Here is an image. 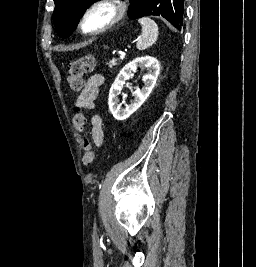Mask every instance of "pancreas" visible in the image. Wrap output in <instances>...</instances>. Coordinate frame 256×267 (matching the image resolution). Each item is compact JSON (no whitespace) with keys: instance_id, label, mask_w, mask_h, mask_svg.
Here are the masks:
<instances>
[{"instance_id":"1","label":"pancreas","mask_w":256,"mask_h":267,"mask_svg":"<svg viewBox=\"0 0 256 267\" xmlns=\"http://www.w3.org/2000/svg\"><path fill=\"white\" fill-rule=\"evenodd\" d=\"M109 68H113V66H118L116 60H110L109 64H108Z\"/></svg>"}]
</instances>
